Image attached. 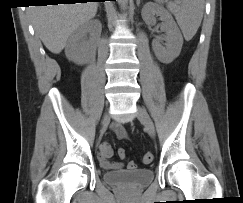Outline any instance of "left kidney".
I'll list each match as a JSON object with an SVG mask.
<instances>
[{
	"label": "left kidney",
	"instance_id": "5707ae66",
	"mask_svg": "<svg viewBox=\"0 0 243 203\" xmlns=\"http://www.w3.org/2000/svg\"><path fill=\"white\" fill-rule=\"evenodd\" d=\"M143 20L148 25L155 23V16H159L162 24L161 30L166 33L164 37L165 47L160 44V39L152 43L156 57L162 63L169 64L176 59L182 49L183 37L171 14L162 6L155 3H147L141 12Z\"/></svg>",
	"mask_w": 243,
	"mask_h": 203
}]
</instances>
